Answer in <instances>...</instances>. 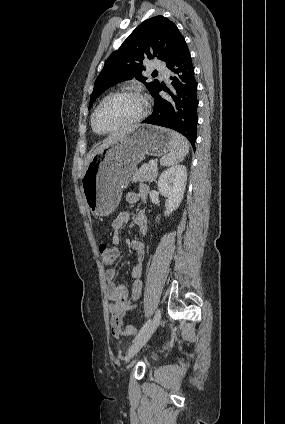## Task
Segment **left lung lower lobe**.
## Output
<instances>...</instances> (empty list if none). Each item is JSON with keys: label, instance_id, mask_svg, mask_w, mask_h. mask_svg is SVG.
Wrapping results in <instances>:
<instances>
[{"label": "left lung lower lobe", "instance_id": "obj_1", "mask_svg": "<svg viewBox=\"0 0 285 424\" xmlns=\"http://www.w3.org/2000/svg\"><path fill=\"white\" fill-rule=\"evenodd\" d=\"M166 66L175 75L172 80L170 95L162 98L159 92L162 85L152 93L155 98L154 111L142 123L167 127L183 134L195 149L197 138V83L194 77L190 52L183 36H180L168 59Z\"/></svg>", "mask_w": 285, "mask_h": 424}]
</instances>
